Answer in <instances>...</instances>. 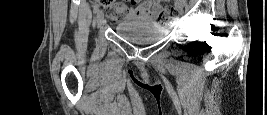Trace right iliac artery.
<instances>
[{"mask_svg":"<svg viewBox=\"0 0 267 115\" xmlns=\"http://www.w3.org/2000/svg\"><path fill=\"white\" fill-rule=\"evenodd\" d=\"M98 11H99V5H96V6L94 7L93 12H94V13H97Z\"/></svg>","mask_w":267,"mask_h":115,"instance_id":"82829eb1","label":"right iliac artery"}]
</instances>
